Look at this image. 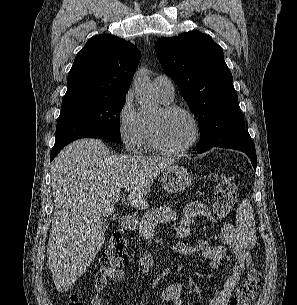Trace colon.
I'll use <instances>...</instances> for the list:
<instances>
[{
	"mask_svg": "<svg viewBox=\"0 0 297 305\" xmlns=\"http://www.w3.org/2000/svg\"><path fill=\"white\" fill-rule=\"evenodd\" d=\"M216 183L213 194V215L218 219L225 218L233 209L236 201V184L234 177L223 172H216L209 176ZM127 244L122 232H116L109 238L104 250L101 271H109L126 263ZM261 288V274L252 268L246 278L238 286L229 305H251ZM68 305H82L77 296L71 295Z\"/></svg>",
	"mask_w": 297,
	"mask_h": 305,
	"instance_id": "colon-1",
	"label": "colon"
}]
</instances>
